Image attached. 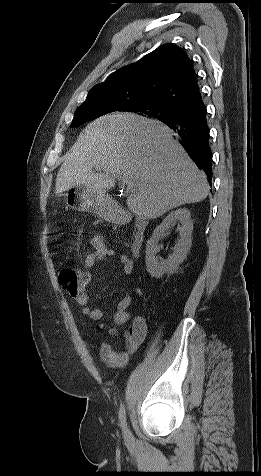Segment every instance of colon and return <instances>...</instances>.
Segmentation results:
<instances>
[{
  "instance_id": "obj_1",
  "label": "colon",
  "mask_w": 261,
  "mask_h": 476,
  "mask_svg": "<svg viewBox=\"0 0 261 476\" xmlns=\"http://www.w3.org/2000/svg\"><path fill=\"white\" fill-rule=\"evenodd\" d=\"M60 285L69 293H76L78 289L86 282V278L81 273L70 266H63L58 273Z\"/></svg>"
}]
</instances>
